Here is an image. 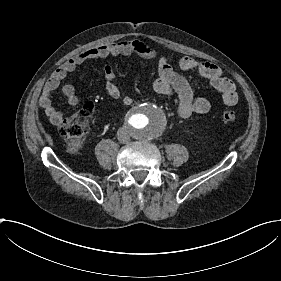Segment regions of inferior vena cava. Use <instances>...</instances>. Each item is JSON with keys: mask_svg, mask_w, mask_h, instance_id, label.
I'll use <instances>...</instances> for the list:
<instances>
[{"mask_svg": "<svg viewBox=\"0 0 281 281\" xmlns=\"http://www.w3.org/2000/svg\"><path fill=\"white\" fill-rule=\"evenodd\" d=\"M118 141L122 144H127L130 142V136L125 128H119L117 131Z\"/></svg>", "mask_w": 281, "mask_h": 281, "instance_id": "obj_1", "label": "inferior vena cava"}]
</instances>
